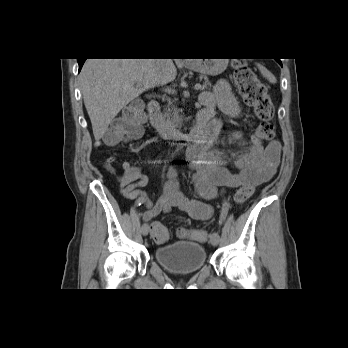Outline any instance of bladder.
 <instances>
[{"mask_svg": "<svg viewBox=\"0 0 348 348\" xmlns=\"http://www.w3.org/2000/svg\"><path fill=\"white\" fill-rule=\"evenodd\" d=\"M160 265L174 274H191L206 263V251L202 244L194 241H179L164 244L155 249Z\"/></svg>", "mask_w": 348, "mask_h": 348, "instance_id": "31cf9c89", "label": "bladder"}]
</instances>
